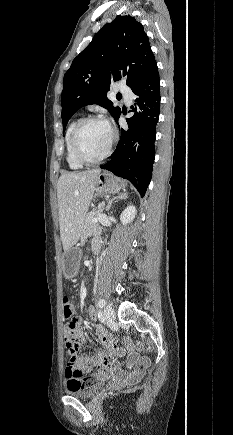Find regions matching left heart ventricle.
I'll return each mask as SVG.
<instances>
[{
  "label": "left heart ventricle",
  "instance_id": "1",
  "mask_svg": "<svg viewBox=\"0 0 233 435\" xmlns=\"http://www.w3.org/2000/svg\"><path fill=\"white\" fill-rule=\"evenodd\" d=\"M110 131L103 122L87 123L79 134V144L89 158H98L107 149Z\"/></svg>",
  "mask_w": 233,
  "mask_h": 435
}]
</instances>
